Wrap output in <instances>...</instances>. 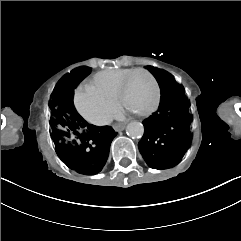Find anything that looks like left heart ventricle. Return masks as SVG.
Returning <instances> with one entry per match:
<instances>
[{"mask_svg": "<svg viewBox=\"0 0 241 241\" xmlns=\"http://www.w3.org/2000/svg\"><path fill=\"white\" fill-rule=\"evenodd\" d=\"M125 101L127 104L126 109L133 113H142L152 101L154 96V89L144 76H135L133 80L128 82L124 91Z\"/></svg>", "mask_w": 241, "mask_h": 241, "instance_id": "b2bd125f", "label": "left heart ventricle"}]
</instances>
